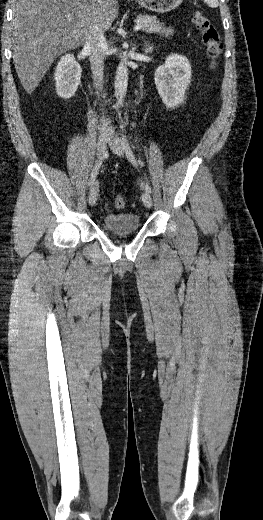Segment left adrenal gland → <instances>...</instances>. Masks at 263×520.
I'll return each mask as SVG.
<instances>
[{"label":"left adrenal gland","instance_id":"left-adrenal-gland-1","mask_svg":"<svg viewBox=\"0 0 263 520\" xmlns=\"http://www.w3.org/2000/svg\"><path fill=\"white\" fill-rule=\"evenodd\" d=\"M145 44H147V43H145ZM145 47H146V49H145L146 52L151 51V49H152V47L149 44H147Z\"/></svg>","mask_w":263,"mask_h":520}]
</instances>
